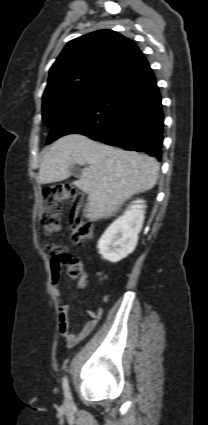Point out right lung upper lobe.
<instances>
[{"label":"right lung upper lobe","mask_w":208,"mask_h":425,"mask_svg":"<svg viewBox=\"0 0 208 425\" xmlns=\"http://www.w3.org/2000/svg\"><path fill=\"white\" fill-rule=\"evenodd\" d=\"M144 55L129 38L98 30L64 47L50 68L43 102L85 89H106Z\"/></svg>","instance_id":"1"}]
</instances>
